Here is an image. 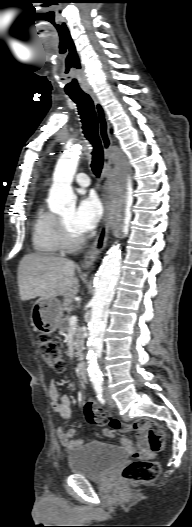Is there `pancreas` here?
Masks as SVG:
<instances>
[{
    "label": "pancreas",
    "instance_id": "cf45deb5",
    "mask_svg": "<svg viewBox=\"0 0 192 527\" xmlns=\"http://www.w3.org/2000/svg\"><path fill=\"white\" fill-rule=\"evenodd\" d=\"M69 316H66L61 319L59 329L62 333H67L69 331L70 325H69ZM75 339H76V348L80 347V344L83 340V328L79 327L75 330Z\"/></svg>",
    "mask_w": 192,
    "mask_h": 527
}]
</instances>
